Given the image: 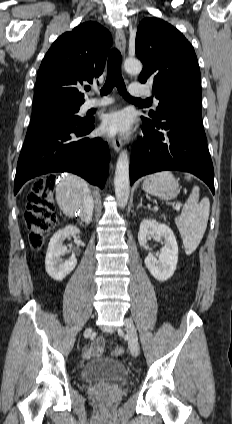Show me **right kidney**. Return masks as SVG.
Here are the masks:
<instances>
[{"label": "right kidney", "mask_w": 232, "mask_h": 424, "mask_svg": "<svg viewBox=\"0 0 232 424\" xmlns=\"http://www.w3.org/2000/svg\"><path fill=\"white\" fill-rule=\"evenodd\" d=\"M80 230L76 226H67L64 229L57 231L50 239L46 258V272L54 280L61 281L64 279L76 266L77 259L75 254H72L68 260H63L62 255L67 251L62 242L70 236H76Z\"/></svg>", "instance_id": "1"}]
</instances>
